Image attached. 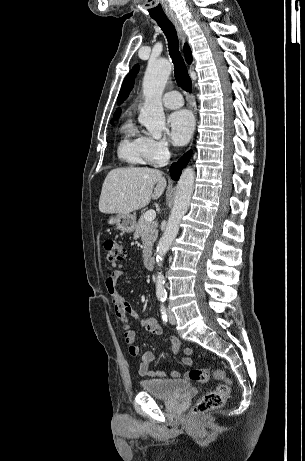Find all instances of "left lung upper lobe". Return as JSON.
Returning a JSON list of instances; mask_svg holds the SVG:
<instances>
[{
    "label": "left lung upper lobe",
    "mask_w": 305,
    "mask_h": 461,
    "mask_svg": "<svg viewBox=\"0 0 305 461\" xmlns=\"http://www.w3.org/2000/svg\"><path fill=\"white\" fill-rule=\"evenodd\" d=\"M138 70H139V66L135 65L132 68V70L129 72V74L126 76V78L124 79L122 88L118 96V102H122L129 95L131 89L133 88L134 78H135V75L138 73Z\"/></svg>",
    "instance_id": "5c2ea615"
}]
</instances>
